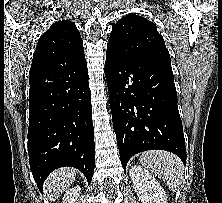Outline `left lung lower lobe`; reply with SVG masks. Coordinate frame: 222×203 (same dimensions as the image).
Listing matches in <instances>:
<instances>
[{
	"label": "left lung lower lobe",
	"mask_w": 222,
	"mask_h": 203,
	"mask_svg": "<svg viewBox=\"0 0 222 203\" xmlns=\"http://www.w3.org/2000/svg\"><path fill=\"white\" fill-rule=\"evenodd\" d=\"M105 77L124 170L136 153L160 149L186 165L183 126L170 64L129 59L107 48Z\"/></svg>",
	"instance_id": "left-lung-lower-lobe-1"
}]
</instances>
